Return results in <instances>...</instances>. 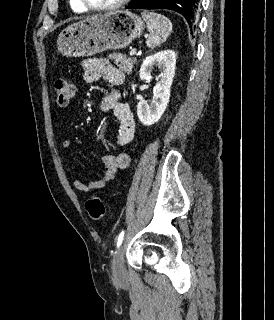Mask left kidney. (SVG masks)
Here are the masks:
<instances>
[{
	"instance_id": "obj_1",
	"label": "left kidney",
	"mask_w": 274,
	"mask_h": 320,
	"mask_svg": "<svg viewBox=\"0 0 274 320\" xmlns=\"http://www.w3.org/2000/svg\"><path fill=\"white\" fill-rule=\"evenodd\" d=\"M154 66H157L160 72L158 78H156L159 82L154 88V96L150 100V104L145 100H140L136 106L137 116L143 126H152V124L159 122L169 104L170 90L176 70L175 52L173 50H163V52L148 56L140 68V80L149 78Z\"/></svg>"
}]
</instances>
